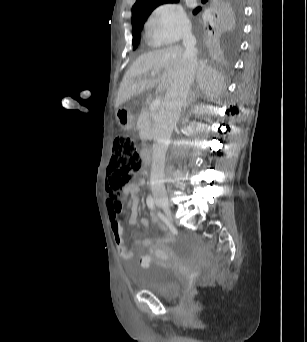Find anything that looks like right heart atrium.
I'll list each match as a JSON object with an SVG mask.
<instances>
[{
  "instance_id": "d8ad5b80",
  "label": "right heart atrium",
  "mask_w": 307,
  "mask_h": 342,
  "mask_svg": "<svg viewBox=\"0 0 307 342\" xmlns=\"http://www.w3.org/2000/svg\"><path fill=\"white\" fill-rule=\"evenodd\" d=\"M185 15L171 5L158 7L143 25V35L157 45H173L188 36Z\"/></svg>"
}]
</instances>
